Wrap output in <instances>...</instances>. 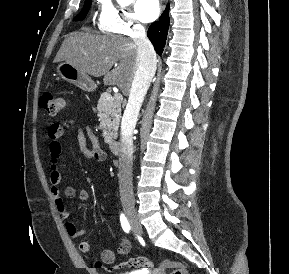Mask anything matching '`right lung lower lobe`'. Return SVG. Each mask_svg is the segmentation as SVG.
Wrapping results in <instances>:
<instances>
[{
  "label": "right lung lower lobe",
  "instance_id": "right-lung-lower-lobe-1",
  "mask_svg": "<svg viewBox=\"0 0 289 274\" xmlns=\"http://www.w3.org/2000/svg\"><path fill=\"white\" fill-rule=\"evenodd\" d=\"M169 28V6L167 5L165 11L158 22H154L148 29V37L152 42L156 52L161 55L165 46L167 32Z\"/></svg>",
  "mask_w": 289,
  "mask_h": 274
}]
</instances>
